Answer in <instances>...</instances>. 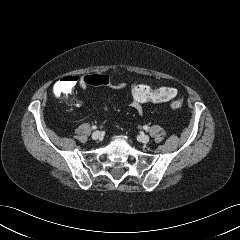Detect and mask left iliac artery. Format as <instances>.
I'll return each instance as SVG.
<instances>
[{"instance_id": "obj_1", "label": "left iliac artery", "mask_w": 240, "mask_h": 240, "mask_svg": "<svg viewBox=\"0 0 240 240\" xmlns=\"http://www.w3.org/2000/svg\"><path fill=\"white\" fill-rule=\"evenodd\" d=\"M144 130L148 131L149 127L147 125L143 126Z\"/></svg>"}]
</instances>
